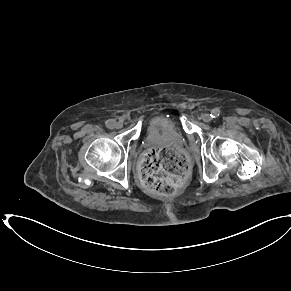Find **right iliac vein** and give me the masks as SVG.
<instances>
[{
    "mask_svg": "<svg viewBox=\"0 0 291 291\" xmlns=\"http://www.w3.org/2000/svg\"><path fill=\"white\" fill-rule=\"evenodd\" d=\"M123 127V123L122 122H115V128L117 129H121Z\"/></svg>",
    "mask_w": 291,
    "mask_h": 291,
    "instance_id": "63e3f726",
    "label": "right iliac vein"
}]
</instances>
